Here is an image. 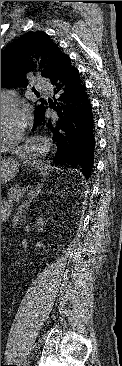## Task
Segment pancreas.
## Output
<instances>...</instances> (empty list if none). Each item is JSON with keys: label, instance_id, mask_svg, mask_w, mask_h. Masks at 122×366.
<instances>
[{"label": "pancreas", "instance_id": "obj_1", "mask_svg": "<svg viewBox=\"0 0 122 366\" xmlns=\"http://www.w3.org/2000/svg\"><path fill=\"white\" fill-rule=\"evenodd\" d=\"M23 192L20 190V187L16 185L13 188H10L7 191V197L4 199L5 201H16V199H20Z\"/></svg>", "mask_w": 122, "mask_h": 366}]
</instances>
